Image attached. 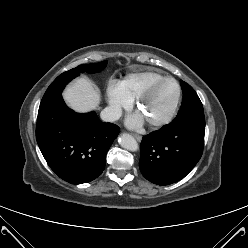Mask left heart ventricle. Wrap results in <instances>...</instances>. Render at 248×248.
<instances>
[{
    "label": "left heart ventricle",
    "instance_id": "b2bd125f",
    "mask_svg": "<svg viewBox=\"0 0 248 248\" xmlns=\"http://www.w3.org/2000/svg\"><path fill=\"white\" fill-rule=\"evenodd\" d=\"M177 96L174 83L166 82L158 86L139 109L142 117L153 121L165 116L172 108Z\"/></svg>",
    "mask_w": 248,
    "mask_h": 248
}]
</instances>
